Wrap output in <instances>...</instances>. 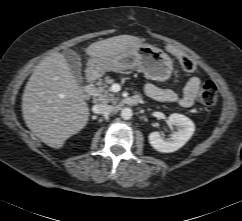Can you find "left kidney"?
I'll return each mask as SVG.
<instances>
[{
  "instance_id": "obj_1",
  "label": "left kidney",
  "mask_w": 242,
  "mask_h": 221,
  "mask_svg": "<svg viewBox=\"0 0 242 221\" xmlns=\"http://www.w3.org/2000/svg\"><path fill=\"white\" fill-rule=\"evenodd\" d=\"M169 122L176 125L178 130L171 134L170 138L163 139L159 132L149 134V143L159 152L170 153L180 149L192 137L195 125L185 115L174 113L169 116Z\"/></svg>"
}]
</instances>
